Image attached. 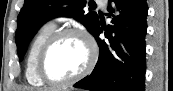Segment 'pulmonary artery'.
I'll return each mask as SVG.
<instances>
[{
	"label": "pulmonary artery",
	"instance_id": "obj_1",
	"mask_svg": "<svg viewBox=\"0 0 173 91\" xmlns=\"http://www.w3.org/2000/svg\"><path fill=\"white\" fill-rule=\"evenodd\" d=\"M97 2L100 3V4H103L105 1L98 0Z\"/></svg>",
	"mask_w": 173,
	"mask_h": 91
}]
</instances>
